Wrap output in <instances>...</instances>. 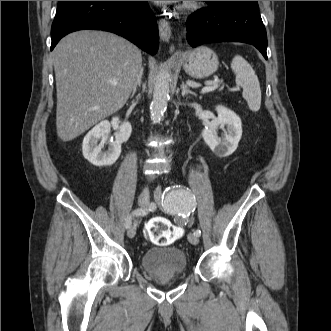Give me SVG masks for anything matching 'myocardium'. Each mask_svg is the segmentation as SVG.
<instances>
[{"label": "myocardium", "instance_id": "myocardium-1", "mask_svg": "<svg viewBox=\"0 0 331 331\" xmlns=\"http://www.w3.org/2000/svg\"><path fill=\"white\" fill-rule=\"evenodd\" d=\"M193 3H194V1H186V5H185V7H186V8H191V7L194 6Z\"/></svg>", "mask_w": 331, "mask_h": 331}]
</instances>
